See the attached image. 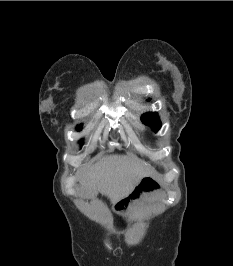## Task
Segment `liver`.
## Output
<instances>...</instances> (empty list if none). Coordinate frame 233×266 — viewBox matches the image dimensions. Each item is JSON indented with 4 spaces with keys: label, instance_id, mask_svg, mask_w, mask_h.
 <instances>
[{
    "label": "liver",
    "instance_id": "obj_1",
    "mask_svg": "<svg viewBox=\"0 0 233 266\" xmlns=\"http://www.w3.org/2000/svg\"><path fill=\"white\" fill-rule=\"evenodd\" d=\"M147 171L125 155H109L87 169L80 178L81 195L93 198L100 192L112 203L127 197Z\"/></svg>",
    "mask_w": 233,
    "mask_h": 266
}]
</instances>
